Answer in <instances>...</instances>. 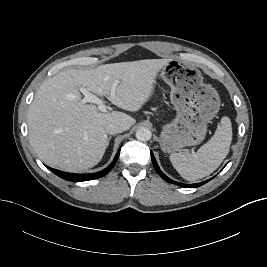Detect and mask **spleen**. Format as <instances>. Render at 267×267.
I'll return each mask as SVG.
<instances>
[{"label": "spleen", "instance_id": "1", "mask_svg": "<svg viewBox=\"0 0 267 267\" xmlns=\"http://www.w3.org/2000/svg\"><path fill=\"white\" fill-rule=\"evenodd\" d=\"M231 141V121L224 116L215 134L196 153H172L170 161L182 178L195 181L213 173L221 165Z\"/></svg>", "mask_w": 267, "mask_h": 267}]
</instances>
